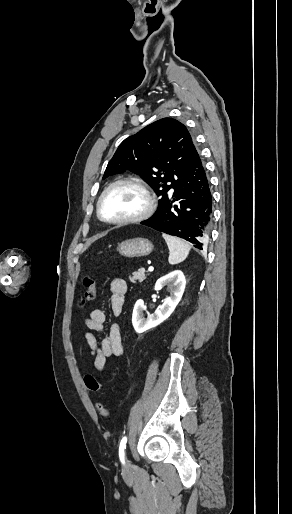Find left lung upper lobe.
Masks as SVG:
<instances>
[{"instance_id": "1", "label": "left lung upper lobe", "mask_w": 292, "mask_h": 514, "mask_svg": "<svg viewBox=\"0 0 292 514\" xmlns=\"http://www.w3.org/2000/svg\"><path fill=\"white\" fill-rule=\"evenodd\" d=\"M192 147V137L184 124L172 118L160 119L119 145L103 179L131 171L153 188L160 201L185 172Z\"/></svg>"}]
</instances>
